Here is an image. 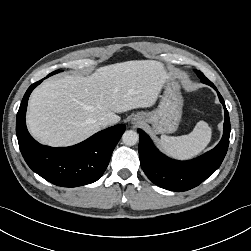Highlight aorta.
I'll return each instance as SVG.
<instances>
[{
  "label": "aorta",
  "mask_w": 251,
  "mask_h": 251,
  "mask_svg": "<svg viewBox=\"0 0 251 251\" xmlns=\"http://www.w3.org/2000/svg\"><path fill=\"white\" fill-rule=\"evenodd\" d=\"M139 140V135L136 131L127 130L122 135V141L127 146H133L137 144Z\"/></svg>",
  "instance_id": "obj_1"
}]
</instances>
